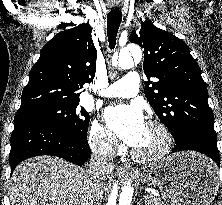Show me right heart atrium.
<instances>
[{"instance_id":"obj_1","label":"right heart atrium","mask_w":222,"mask_h":205,"mask_svg":"<svg viewBox=\"0 0 222 205\" xmlns=\"http://www.w3.org/2000/svg\"><path fill=\"white\" fill-rule=\"evenodd\" d=\"M89 144L92 150L105 158L112 157L116 150V140L112 133L100 122L94 121L89 131Z\"/></svg>"}]
</instances>
